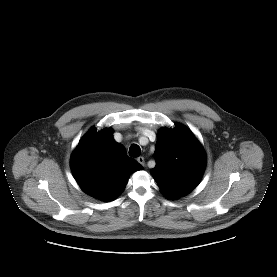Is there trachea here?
Masks as SVG:
<instances>
[{"label":"trachea","mask_w":277,"mask_h":277,"mask_svg":"<svg viewBox=\"0 0 277 277\" xmlns=\"http://www.w3.org/2000/svg\"><path fill=\"white\" fill-rule=\"evenodd\" d=\"M141 154V149L137 144H133L131 145V147L129 148V155L131 157H138Z\"/></svg>","instance_id":"3493384b"}]
</instances>
